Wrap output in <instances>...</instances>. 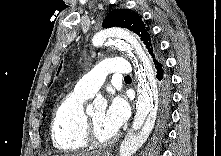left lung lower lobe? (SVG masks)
Returning a JSON list of instances; mask_svg holds the SVG:
<instances>
[{
	"label": "left lung lower lobe",
	"instance_id": "1",
	"mask_svg": "<svg viewBox=\"0 0 221 156\" xmlns=\"http://www.w3.org/2000/svg\"><path fill=\"white\" fill-rule=\"evenodd\" d=\"M156 71V138L165 134V127L170 116L171 90L170 75L165 67L164 61L157 62Z\"/></svg>",
	"mask_w": 221,
	"mask_h": 156
}]
</instances>
